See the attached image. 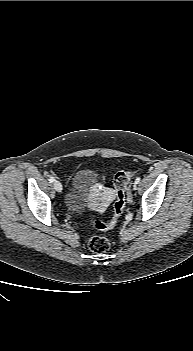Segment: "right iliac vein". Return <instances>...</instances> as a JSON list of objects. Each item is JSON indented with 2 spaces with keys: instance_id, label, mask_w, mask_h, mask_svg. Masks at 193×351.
I'll list each match as a JSON object with an SVG mask.
<instances>
[{
  "instance_id": "1",
  "label": "right iliac vein",
  "mask_w": 193,
  "mask_h": 351,
  "mask_svg": "<svg viewBox=\"0 0 193 351\" xmlns=\"http://www.w3.org/2000/svg\"><path fill=\"white\" fill-rule=\"evenodd\" d=\"M54 188L57 192H61L62 191V184L59 181H55Z\"/></svg>"
}]
</instances>
